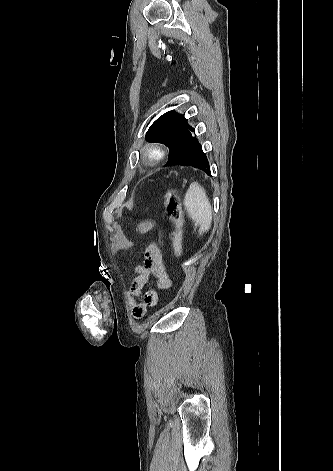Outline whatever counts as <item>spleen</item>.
Instances as JSON below:
<instances>
[{
    "mask_svg": "<svg viewBox=\"0 0 333 471\" xmlns=\"http://www.w3.org/2000/svg\"><path fill=\"white\" fill-rule=\"evenodd\" d=\"M184 205L190 218L199 226V233L207 232L212 222V207L204 188L197 182L191 183L185 198Z\"/></svg>",
    "mask_w": 333,
    "mask_h": 471,
    "instance_id": "3e777b00",
    "label": "spleen"
}]
</instances>
